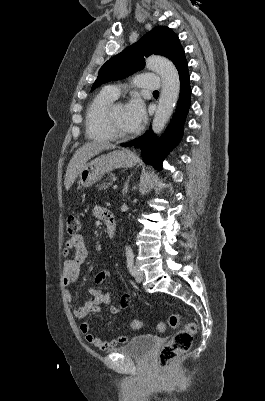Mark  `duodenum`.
I'll return each mask as SVG.
<instances>
[{"mask_svg": "<svg viewBox=\"0 0 265 401\" xmlns=\"http://www.w3.org/2000/svg\"><path fill=\"white\" fill-rule=\"evenodd\" d=\"M102 220L105 223L108 237L112 239L115 236L116 232V220L114 214L109 210H105L102 216Z\"/></svg>", "mask_w": 265, "mask_h": 401, "instance_id": "410a0bca", "label": "duodenum"}]
</instances>
